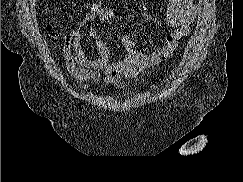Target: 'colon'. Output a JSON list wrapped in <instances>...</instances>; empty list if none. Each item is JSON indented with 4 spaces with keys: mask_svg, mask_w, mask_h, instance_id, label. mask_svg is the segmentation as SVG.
Instances as JSON below:
<instances>
[{
    "mask_svg": "<svg viewBox=\"0 0 243 182\" xmlns=\"http://www.w3.org/2000/svg\"><path fill=\"white\" fill-rule=\"evenodd\" d=\"M48 30L54 34V31L52 30L51 26H48Z\"/></svg>",
    "mask_w": 243,
    "mask_h": 182,
    "instance_id": "obj_1",
    "label": "colon"
}]
</instances>
